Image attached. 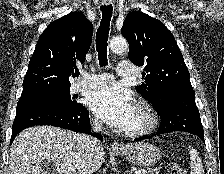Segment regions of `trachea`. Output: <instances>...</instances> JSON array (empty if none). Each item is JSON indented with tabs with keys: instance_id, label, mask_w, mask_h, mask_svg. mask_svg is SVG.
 <instances>
[{
	"instance_id": "1",
	"label": "trachea",
	"mask_w": 224,
	"mask_h": 174,
	"mask_svg": "<svg viewBox=\"0 0 224 174\" xmlns=\"http://www.w3.org/2000/svg\"><path fill=\"white\" fill-rule=\"evenodd\" d=\"M101 10L102 19L97 29L96 50L98 52L99 65L105 66L107 64V41L112 18V5H103L101 6ZM75 76H79L78 71H76Z\"/></svg>"
}]
</instances>
